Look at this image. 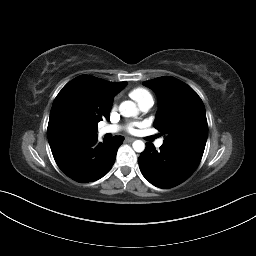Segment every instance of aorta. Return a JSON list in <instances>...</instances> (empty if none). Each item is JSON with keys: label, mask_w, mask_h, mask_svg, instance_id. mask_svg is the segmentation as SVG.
I'll return each instance as SVG.
<instances>
[{"label": "aorta", "mask_w": 256, "mask_h": 256, "mask_svg": "<svg viewBox=\"0 0 256 256\" xmlns=\"http://www.w3.org/2000/svg\"><path fill=\"white\" fill-rule=\"evenodd\" d=\"M119 112L124 117H135L138 115V109L136 104L132 101H124L119 106ZM132 147L136 152H143L145 149V143L141 140L133 142Z\"/></svg>", "instance_id": "1"}]
</instances>
